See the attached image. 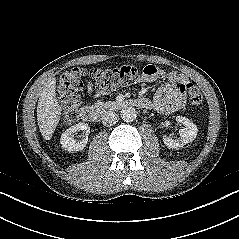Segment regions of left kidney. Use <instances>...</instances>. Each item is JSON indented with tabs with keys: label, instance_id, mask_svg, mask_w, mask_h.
<instances>
[{
	"label": "left kidney",
	"instance_id": "obj_1",
	"mask_svg": "<svg viewBox=\"0 0 239 239\" xmlns=\"http://www.w3.org/2000/svg\"><path fill=\"white\" fill-rule=\"evenodd\" d=\"M176 120L185 126L183 129L179 130L180 137L175 140L167 136L163 137L164 144L168 148L172 149L183 147L184 145L192 142L196 138L198 131L197 126L188 118L177 116Z\"/></svg>",
	"mask_w": 239,
	"mask_h": 239
}]
</instances>
